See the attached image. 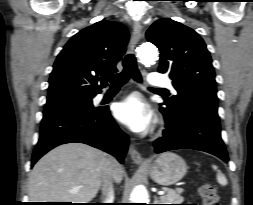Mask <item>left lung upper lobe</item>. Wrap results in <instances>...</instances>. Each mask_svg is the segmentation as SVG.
Masks as SVG:
<instances>
[{
  "label": "left lung upper lobe",
  "instance_id": "5c2ea615",
  "mask_svg": "<svg viewBox=\"0 0 253 205\" xmlns=\"http://www.w3.org/2000/svg\"><path fill=\"white\" fill-rule=\"evenodd\" d=\"M149 42L160 50V73L169 74L178 94L161 107L177 115L196 106L218 107L215 73L209 51L191 28L170 18L156 21L147 31Z\"/></svg>",
  "mask_w": 253,
  "mask_h": 205
}]
</instances>
